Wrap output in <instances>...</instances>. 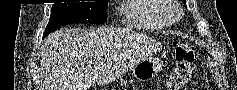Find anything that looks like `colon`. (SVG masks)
I'll use <instances>...</instances> for the list:
<instances>
[{
	"label": "colon",
	"instance_id": "5ec220e1",
	"mask_svg": "<svg viewBox=\"0 0 237 90\" xmlns=\"http://www.w3.org/2000/svg\"><path fill=\"white\" fill-rule=\"evenodd\" d=\"M195 49L188 43L175 48V68L167 82V90H181L191 79L194 71Z\"/></svg>",
	"mask_w": 237,
	"mask_h": 90
}]
</instances>
